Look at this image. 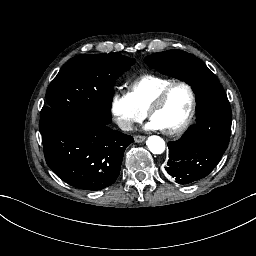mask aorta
<instances>
[{"label":"aorta","mask_w":256,"mask_h":256,"mask_svg":"<svg viewBox=\"0 0 256 256\" xmlns=\"http://www.w3.org/2000/svg\"><path fill=\"white\" fill-rule=\"evenodd\" d=\"M146 145L153 154H162L166 148L163 138L157 135L149 136Z\"/></svg>","instance_id":"obj_1"}]
</instances>
